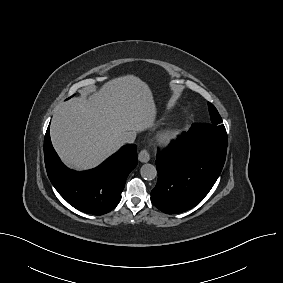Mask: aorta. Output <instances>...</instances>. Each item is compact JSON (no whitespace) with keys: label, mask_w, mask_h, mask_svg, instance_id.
I'll return each mask as SVG.
<instances>
[{"label":"aorta","mask_w":283,"mask_h":283,"mask_svg":"<svg viewBox=\"0 0 283 283\" xmlns=\"http://www.w3.org/2000/svg\"><path fill=\"white\" fill-rule=\"evenodd\" d=\"M141 177L146 180H152L157 176L156 167L152 164H144L140 169Z\"/></svg>","instance_id":"aorta-1"}]
</instances>
